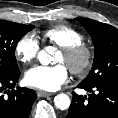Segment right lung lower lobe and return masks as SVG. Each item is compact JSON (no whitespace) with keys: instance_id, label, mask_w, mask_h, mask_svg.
Wrapping results in <instances>:
<instances>
[{"instance_id":"98d812e1","label":"right lung lower lobe","mask_w":118,"mask_h":118,"mask_svg":"<svg viewBox=\"0 0 118 118\" xmlns=\"http://www.w3.org/2000/svg\"><path fill=\"white\" fill-rule=\"evenodd\" d=\"M19 76L20 71L0 77V118H28L30 115L37 95L34 90L28 88L14 89Z\"/></svg>"}]
</instances>
